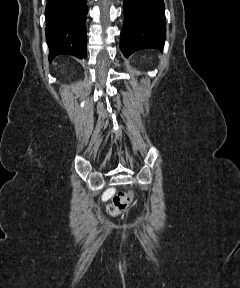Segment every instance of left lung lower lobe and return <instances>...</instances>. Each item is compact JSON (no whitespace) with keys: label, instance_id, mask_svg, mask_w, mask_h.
Listing matches in <instances>:
<instances>
[{"label":"left lung lower lobe","instance_id":"left-lung-lower-lobe-1","mask_svg":"<svg viewBox=\"0 0 240 288\" xmlns=\"http://www.w3.org/2000/svg\"><path fill=\"white\" fill-rule=\"evenodd\" d=\"M163 0H123L120 49L125 57L144 48L162 50L165 39Z\"/></svg>","mask_w":240,"mask_h":288}]
</instances>
